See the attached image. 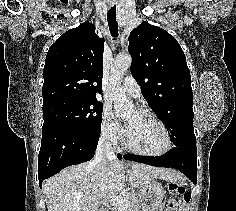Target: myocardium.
Instances as JSON below:
<instances>
[{"mask_svg":"<svg viewBox=\"0 0 236 211\" xmlns=\"http://www.w3.org/2000/svg\"><path fill=\"white\" fill-rule=\"evenodd\" d=\"M136 112L139 113L140 115L151 118L158 125H160V127L162 128V130L165 134V138H166L165 147L160 152H157V153H150V152H145V151L138 150L135 147H133L131 145V143L129 142L125 127H124V130H123V140H122L123 147L125 149L131 151L132 153L142 155V156H147V157H161V156L166 155L171 150V147H172L171 134H170L169 129L166 126V124L160 118H158L155 114H153L152 112H150L148 110L138 109V110H136Z\"/></svg>","mask_w":236,"mask_h":211,"instance_id":"1","label":"myocardium"}]
</instances>
